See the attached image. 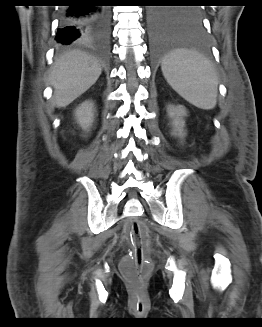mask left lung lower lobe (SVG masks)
<instances>
[{"label":"left lung lower lobe","mask_w":262,"mask_h":327,"mask_svg":"<svg viewBox=\"0 0 262 327\" xmlns=\"http://www.w3.org/2000/svg\"><path fill=\"white\" fill-rule=\"evenodd\" d=\"M151 51L155 55L168 51L206 52L209 40L200 21L185 18L179 9L155 8L149 14Z\"/></svg>","instance_id":"1"}]
</instances>
